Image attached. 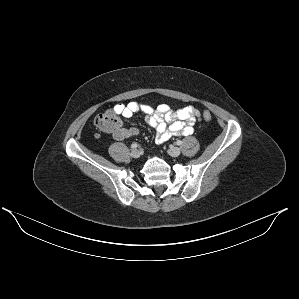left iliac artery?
<instances>
[{
	"mask_svg": "<svg viewBox=\"0 0 299 299\" xmlns=\"http://www.w3.org/2000/svg\"><path fill=\"white\" fill-rule=\"evenodd\" d=\"M176 144H177V145H181V144H182V141H181V140H178V141L176 142Z\"/></svg>",
	"mask_w": 299,
	"mask_h": 299,
	"instance_id": "44dca946",
	"label": "left iliac artery"
}]
</instances>
